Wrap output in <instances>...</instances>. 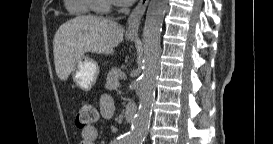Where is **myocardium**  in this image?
Returning <instances> with one entry per match:
<instances>
[{
  "mask_svg": "<svg viewBox=\"0 0 273 144\" xmlns=\"http://www.w3.org/2000/svg\"><path fill=\"white\" fill-rule=\"evenodd\" d=\"M91 8L99 13H108L112 10L113 4L110 0H92Z\"/></svg>",
  "mask_w": 273,
  "mask_h": 144,
  "instance_id": "obj_1",
  "label": "myocardium"
}]
</instances>
